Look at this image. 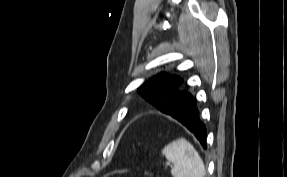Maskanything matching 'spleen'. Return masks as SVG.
I'll return each instance as SVG.
<instances>
[{"label":"spleen","instance_id":"3e777b00","mask_svg":"<svg viewBox=\"0 0 287 177\" xmlns=\"http://www.w3.org/2000/svg\"><path fill=\"white\" fill-rule=\"evenodd\" d=\"M162 153L174 165L171 170L173 177H205L203 160L193 145L184 138L169 143Z\"/></svg>","mask_w":287,"mask_h":177}]
</instances>
